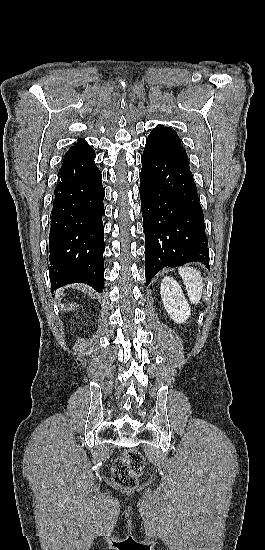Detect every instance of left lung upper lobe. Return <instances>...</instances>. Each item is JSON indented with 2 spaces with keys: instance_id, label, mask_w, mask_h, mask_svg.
Segmentation results:
<instances>
[{
  "instance_id": "1",
  "label": "left lung upper lobe",
  "mask_w": 265,
  "mask_h": 550,
  "mask_svg": "<svg viewBox=\"0 0 265 550\" xmlns=\"http://www.w3.org/2000/svg\"><path fill=\"white\" fill-rule=\"evenodd\" d=\"M147 142L157 144L188 159L186 151L181 145V139L172 128L156 126L149 134Z\"/></svg>"
}]
</instances>
